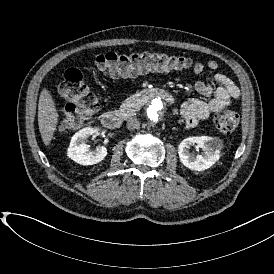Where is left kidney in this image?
<instances>
[{
    "label": "left kidney",
    "instance_id": "1",
    "mask_svg": "<svg viewBox=\"0 0 274 274\" xmlns=\"http://www.w3.org/2000/svg\"><path fill=\"white\" fill-rule=\"evenodd\" d=\"M195 144L203 150L202 155L195 156L190 153L189 148ZM222 147V141L216 137L192 136L181 141L178 146V154L185 167L202 171L210 168L219 160Z\"/></svg>",
    "mask_w": 274,
    "mask_h": 274
}]
</instances>
